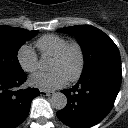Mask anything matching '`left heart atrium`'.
I'll list each match as a JSON object with an SVG mask.
<instances>
[{"mask_svg": "<svg viewBox=\"0 0 128 128\" xmlns=\"http://www.w3.org/2000/svg\"><path fill=\"white\" fill-rule=\"evenodd\" d=\"M67 78L60 71H51L49 73L39 72L32 75L29 83L41 90L50 91L65 85Z\"/></svg>", "mask_w": 128, "mask_h": 128, "instance_id": "1", "label": "left heart atrium"}]
</instances>
